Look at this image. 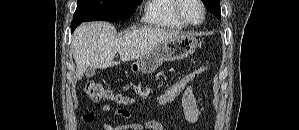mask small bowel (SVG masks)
<instances>
[{
    "label": "small bowel",
    "instance_id": "c3829d8e",
    "mask_svg": "<svg viewBox=\"0 0 299 130\" xmlns=\"http://www.w3.org/2000/svg\"><path fill=\"white\" fill-rule=\"evenodd\" d=\"M182 105L186 120L193 125L198 124L199 113L196 105V87L195 85L190 86L182 96ZM100 110L104 113H110L112 108L108 105H102ZM115 115L122 117H128L129 113L124 109H118L114 112ZM95 113L90 111L83 115L82 120L85 123H90L94 120ZM105 130H164L163 126L154 120L126 123L119 126L104 125Z\"/></svg>",
    "mask_w": 299,
    "mask_h": 130
}]
</instances>
